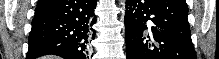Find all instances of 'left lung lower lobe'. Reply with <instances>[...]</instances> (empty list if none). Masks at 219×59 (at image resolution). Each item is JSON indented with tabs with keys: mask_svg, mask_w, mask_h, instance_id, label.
Segmentation results:
<instances>
[{
	"mask_svg": "<svg viewBox=\"0 0 219 59\" xmlns=\"http://www.w3.org/2000/svg\"><path fill=\"white\" fill-rule=\"evenodd\" d=\"M185 0H126L127 59H196Z\"/></svg>",
	"mask_w": 219,
	"mask_h": 59,
	"instance_id": "0a47b994",
	"label": "left lung lower lobe"
}]
</instances>
